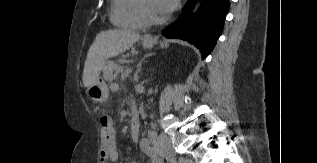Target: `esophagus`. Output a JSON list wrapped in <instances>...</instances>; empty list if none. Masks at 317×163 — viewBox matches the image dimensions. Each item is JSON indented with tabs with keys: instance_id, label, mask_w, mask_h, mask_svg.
Instances as JSON below:
<instances>
[{
	"instance_id": "1",
	"label": "esophagus",
	"mask_w": 317,
	"mask_h": 163,
	"mask_svg": "<svg viewBox=\"0 0 317 163\" xmlns=\"http://www.w3.org/2000/svg\"><path fill=\"white\" fill-rule=\"evenodd\" d=\"M145 41H154V37L151 34L145 35L143 38Z\"/></svg>"
}]
</instances>
